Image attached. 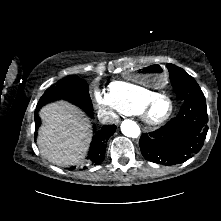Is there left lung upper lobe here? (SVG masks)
Segmentation results:
<instances>
[{
  "instance_id": "1",
  "label": "left lung upper lobe",
  "mask_w": 221,
  "mask_h": 221,
  "mask_svg": "<svg viewBox=\"0 0 221 221\" xmlns=\"http://www.w3.org/2000/svg\"><path fill=\"white\" fill-rule=\"evenodd\" d=\"M170 73L172 86L177 97L182 101L204 97L199 85L195 79L186 73L182 68L173 64L167 66Z\"/></svg>"
}]
</instances>
